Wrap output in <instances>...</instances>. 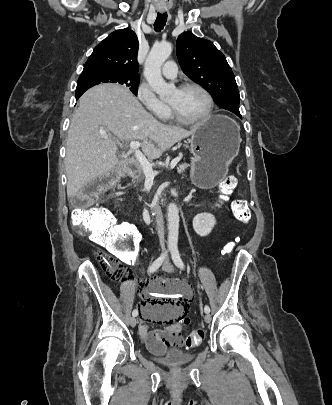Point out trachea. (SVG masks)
<instances>
[{"label": "trachea", "instance_id": "obj_1", "mask_svg": "<svg viewBox=\"0 0 332 405\" xmlns=\"http://www.w3.org/2000/svg\"><path fill=\"white\" fill-rule=\"evenodd\" d=\"M166 21H167V12L158 13L156 21L154 23L155 31L160 32L164 28Z\"/></svg>", "mask_w": 332, "mask_h": 405}]
</instances>
